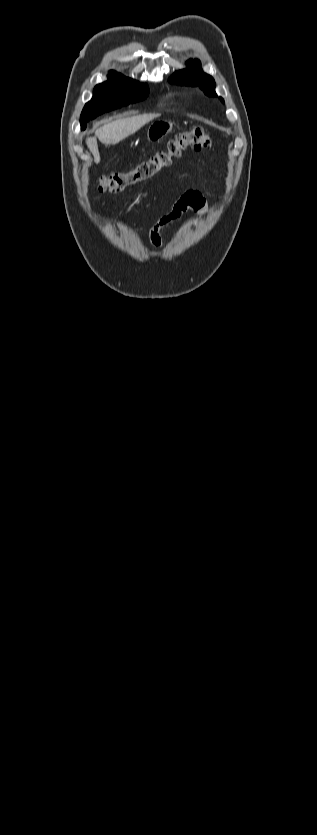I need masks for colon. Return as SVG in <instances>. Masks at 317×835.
Here are the masks:
<instances>
[{
	"instance_id": "obj_1",
	"label": "colon",
	"mask_w": 317,
	"mask_h": 835,
	"mask_svg": "<svg viewBox=\"0 0 317 835\" xmlns=\"http://www.w3.org/2000/svg\"><path fill=\"white\" fill-rule=\"evenodd\" d=\"M211 145L212 140L202 127L197 126L190 130L180 131L167 142L164 149L156 151L132 171L101 176L98 180L97 189L100 192H121L126 187L156 174L186 148L202 150L210 148Z\"/></svg>"
}]
</instances>
